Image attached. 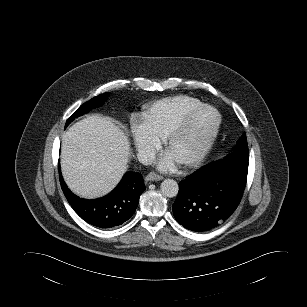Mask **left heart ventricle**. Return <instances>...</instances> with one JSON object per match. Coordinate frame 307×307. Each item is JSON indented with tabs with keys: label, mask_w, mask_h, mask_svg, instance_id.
<instances>
[{
	"label": "left heart ventricle",
	"mask_w": 307,
	"mask_h": 307,
	"mask_svg": "<svg viewBox=\"0 0 307 307\" xmlns=\"http://www.w3.org/2000/svg\"><path fill=\"white\" fill-rule=\"evenodd\" d=\"M216 116L208 109L195 113L190 119L183 134L168 149L177 162L189 157L203 142L215 124Z\"/></svg>",
	"instance_id": "b2bd125f"
}]
</instances>
